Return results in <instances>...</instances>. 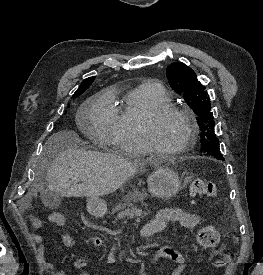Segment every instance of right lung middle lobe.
<instances>
[{
  "label": "right lung middle lobe",
  "instance_id": "right-lung-middle-lobe-1",
  "mask_svg": "<svg viewBox=\"0 0 263 275\" xmlns=\"http://www.w3.org/2000/svg\"><path fill=\"white\" fill-rule=\"evenodd\" d=\"M86 89H87V87H86L85 89L81 90L79 93L75 94V95L73 96V98H76V97H78L79 95H81Z\"/></svg>",
  "mask_w": 263,
  "mask_h": 275
}]
</instances>
